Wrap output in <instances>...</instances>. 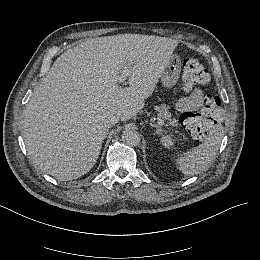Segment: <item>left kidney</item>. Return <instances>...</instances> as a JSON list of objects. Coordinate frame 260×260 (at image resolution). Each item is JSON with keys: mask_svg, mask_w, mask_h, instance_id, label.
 I'll return each mask as SVG.
<instances>
[{"mask_svg": "<svg viewBox=\"0 0 260 260\" xmlns=\"http://www.w3.org/2000/svg\"><path fill=\"white\" fill-rule=\"evenodd\" d=\"M160 142L166 148H171L174 145V141L170 135H163Z\"/></svg>", "mask_w": 260, "mask_h": 260, "instance_id": "1", "label": "left kidney"}]
</instances>
